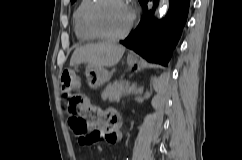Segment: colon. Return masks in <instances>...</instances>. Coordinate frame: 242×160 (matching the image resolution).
Returning a JSON list of instances; mask_svg holds the SVG:
<instances>
[{
	"label": "colon",
	"mask_w": 242,
	"mask_h": 160,
	"mask_svg": "<svg viewBox=\"0 0 242 160\" xmlns=\"http://www.w3.org/2000/svg\"><path fill=\"white\" fill-rule=\"evenodd\" d=\"M60 81L62 96L69 99L67 109L74 132L80 136L82 144L93 145L100 138L101 132L91 129L89 118L94 116V110L80 91V81L69 69L61 72Z\"/></svg>",
	"instance_id": "5ec220e1"
}]
</instances>
